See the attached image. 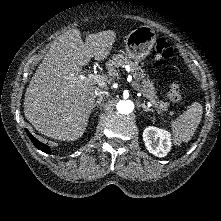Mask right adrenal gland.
Returning <instances> with one entry per match:
<instances>
[{"label": "right adrenal gland", "mask_w": 221, "mask_h": 221, "mask_svg": "<svg viewBox=\"0 0 221 221\" xmlns=\"http://www.w3.org/2000/svg\"><path fill=\"white\" fill-rule=\"evenodd\" d=\"M102 97L98 98L93 106V111L95 110V108H99L100 104H101V101H102Z\"/></svg>", "instance_id": "1"}]
</instances>
